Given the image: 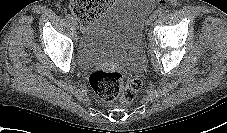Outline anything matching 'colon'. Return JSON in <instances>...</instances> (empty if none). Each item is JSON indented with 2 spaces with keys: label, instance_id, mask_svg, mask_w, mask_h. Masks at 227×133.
Listing matches in <instances>:
<instances>
[{
  "label": "colon",
  "instance_id": "obj_1",
  "mask_svg": "<svg viewBox=\"0 0 227 133\" xmlns=\"http://www.w3.org/2000/svg\"><path fill=\"white\" fill-rule=\"evenodd\" d=\"M113 0H71L70 10L75 17L87 25L94 21ZM89 82L96 94L105 101L132 102L142 82L138 77L127 80L116 71L96 70L89 76Z\"/></svg>",
  "mask_w": 227,
  "mask_h": 133
}]
</instances>
